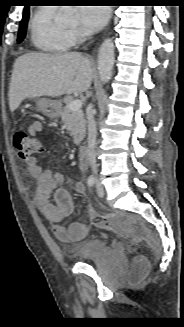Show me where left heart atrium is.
I'll return each instance as SVG.
<instances>
[{"label": "left heart atrium", "mask_w": 184, "mask_h": 327, "mask_svg": "<svg viewBox=\"0 0 184 327\" xmlns=\"http://www.w3.org/2000/svg\"><path fill=\"white\" fill-rule=\"evenodd\" d=\"M78 20L83 30L95 32L101 29L109 17V9L106 7H93L84 5L78 8Z\"/></svg>", "instance_id": "left-heart-atrium-1"}]
</instances>
